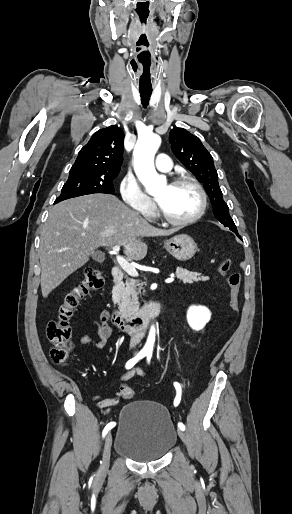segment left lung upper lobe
<instances>
[{
	"label": "left lung upper lobe",
	"mask_w": 292,
	"mask_h": 514,
	"mask_svg": "<svg viewBox=\"0 0 292 514\" xmlns=\"http://www.w3.org/2000/svg\"><path fill=\"white\" fill-rule=\"evenodd\" d=\"M169 141L174 155L203 184L213 206L215 218L234 233H238L229 214V208L223 200L213 158L200 139L187 130L176 127L170 131Z\"/></svg>",
	"instance_id": "left-lung-upper-lobe-1"
}]
</instances>
